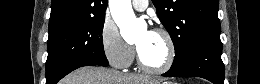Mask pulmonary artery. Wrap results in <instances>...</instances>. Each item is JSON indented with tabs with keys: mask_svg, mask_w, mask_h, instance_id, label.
Returning a JSON list of instances; mask_svg holds the SVG:
<instances>
[{
	"mask_svg": "<svg viewBox=\"0 0 260 84\" xmlns=\"http://www.w3.org/2000/svg\"><path fill=\"white\" fill-rule=\"evenodd\" d=\"M132 6L134 7V9H136L137 11H143L147 8L148 6V1H144V0H134L132 1Z\"/></svg>",
	"mask_w": 260,
	"mask_h": 84,
	"instance_id": "pulmonary-artery-1",
	"label": "pulmonary artery"
}]
</instances>
